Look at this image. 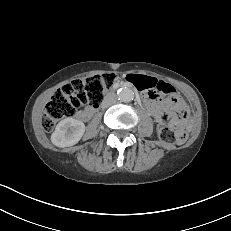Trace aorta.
I'll return each instance as SVG.
<instances>
[{"label": "aorta", "instance_id": "1", "mask_svg": "<svg viewBox=\"0 0 231 231\" xmlns=\"http://www.w3.org/2000/svg\"><path fill=\"white\" fill-rule=\"evenodd\" d=\"M117 95L122 102H130L134 98V92L127 87L119 89Z\"/></svg>", "mask_w": 231, "mask_h": 231}]
</instances>
